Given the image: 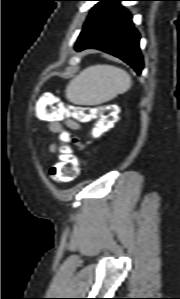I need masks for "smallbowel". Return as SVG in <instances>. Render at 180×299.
Instances as JSON below:
<instances>
[{"instance_id":"obj_1","label":"small bowel","mask_w":180,"mask_h":299,"mask_svg":"<svg viewBox=\"0 0 180 299\" xmlns=\"http://www.w3.org/2000/svg\"><path fill=\"white\" fill-rule=\"evenodd\" d=\"M64 125L73 130L79 129L78 122L68 118L62 120H52L51 122H49V129L55 134H62L64 132ZM75 142L80 146V144L76 140ZM57 148L58 146L56 144H51L48 150L50 153H53L57 150Z\"/></svg>"}]
</instances>
